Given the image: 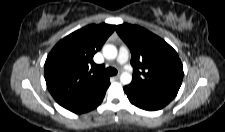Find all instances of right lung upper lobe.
Returning a JSON list of instances; mask_svg holds the SVG:
<instances>
[{
	"instance_id": "cb5924a9",
	"label": "right lung upper lobe",
	"mask_w": 225,
	"mask_h": 132,
	"mask_svg": "<svg viewBox=\"0 0 225 132\" xmlns=\"http://www.w3.org/2000/svg\"><path fill=\"white\" fill-rule=\"evenodd\" d=\"M115 25H88L60 40L45 61L47 88L56 102L75 113L94 109L110 85L103 65L93 61Z\"/></svg>"
}]
</instances>
